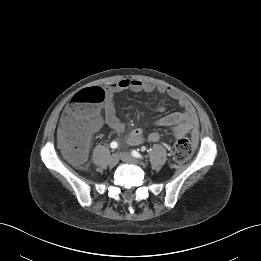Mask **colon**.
<instances>
[{
	"label": "colon",
	"instance_id": "1",
	"mask_svg": "<svg viewBox=\"0 0 261 261\" xmlns=\"http://www.w3.org/2000/svg\"><path fill=\"white\" fill-rule=\"evenodd\" d=\"M104 100V90L91 87L76 93L68 103L60 127V145L70 161L77 164L85 161L88 150V120ZM193 151L192 142L184 136L179 137L173 158L177 163H184L192 156Z\"/></svg>",
	"mask_w": 261,
	"mask_h": 261
}]
</instances>
